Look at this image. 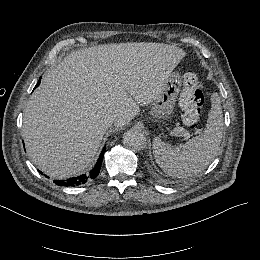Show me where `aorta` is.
Instances as JSON below:
<instances>
[{"instance_id":"1","label":"aorta","mask_w":260,"mask_h":260,"mask_svg":"<svg viewBox=\"0 0 260 260\" xmlns=\"http://www.w3.org/2000/svg\"><path fill=\"white\" fill-rule=\"evenodd\" d=\"M146 136L135 129H131L124 133L123 143L126 147L133 151H139L146 146Z\"/></svg>"}]
</instances>
